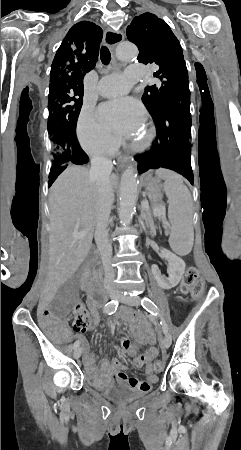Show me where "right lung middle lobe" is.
I'll use <instances>...</instances> for the list:
<instances>
[{"instance_id": "dd1d6c3e", "label": "right lung middle lobe", "mask_w": 241, "mask_h": 450, "mask_svg": "<svg viewBox=\"0 0 241 450\" xmlns=\"http://www.w3.org/2000/svg\"><path fill=\"white\" fill-rule=\"evenodd\" d=\"M83 93V89L68 85H60L49 90L48 133L52 155L51 170L70 162V147L62 132L76 129Z\"/></svg>"}]
</instances>
